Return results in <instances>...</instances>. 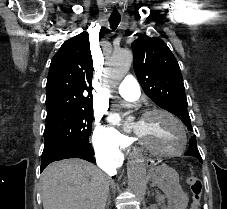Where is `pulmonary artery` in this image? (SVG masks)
Instances as JSON below:
<instances>
[{
    "mask_svg": "<svg viewBox=\"0 0 227 209\" xmlns=\"http://www.w3.org/2000/svg\"><path fill=\"white\" fill-rule=\"evenodd\" d=\"M118 93L127 99H136L140 93V85L135 76H127L119 85Z\"/></svg>",
    "mask_w": 227,
    "mask_h": 209,
    "instance_id": "1",
    "label": "pulmonary artery"
}]
</instances>
